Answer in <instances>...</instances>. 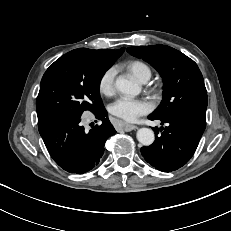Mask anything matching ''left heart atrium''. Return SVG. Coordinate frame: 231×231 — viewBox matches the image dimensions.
Wrapping results in <instances>:
<instances>
[{"label": "left heart atrium", "instance_id": "left-heart-atrium-1", "mask_svg": "<svg viewBox=\"0 0 231 231\" xmlns=\"http://www.w3.org/2000/svg\"><path fill=\"white\" fill-rule=\"evenodd\" d=\"M151 109L152 105L149 102L129 96L118 98L110 106V112L125 121H134Z\"/></svg>", "mask_w": 231, "mask_h": 231}]
</instances>
